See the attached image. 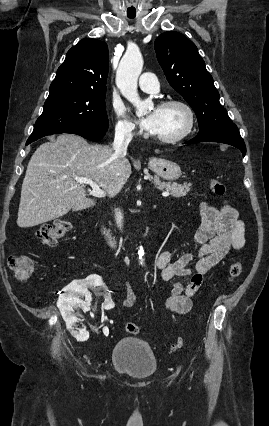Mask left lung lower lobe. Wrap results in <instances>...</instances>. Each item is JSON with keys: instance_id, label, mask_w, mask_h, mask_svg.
I'll use <instances>...</instances> for the list:
<instances>
[{"instance_id": "left-lung-lower-lobe-1", "label": "left lung lower lobe", "mask_w": 269, "mask_h": 426, "mask_svg": "<svg viewBox=\"0 0 269 426\" xmlns=\"http://www.w3.org/2000/svg\"><path fill=\"white\" fill-rule=\"evenodd\" d=\"M205 141L221 142V143L229 144L240 149L243 156H245L246 154V147H245L244 140L242 139L240 132L234 123L218 128L216 130H213L210 133L199 132L196 137L186 142V144L205 142Z\"/></svg>"}]
</instances>
